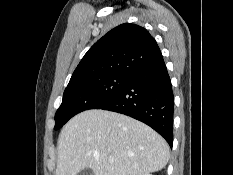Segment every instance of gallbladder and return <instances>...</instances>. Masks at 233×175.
Here are the masks:
<instances>
[{"instance_id": "gallbladder-1", "label": "gallbladder", "mask_w": 233, "mask_h": 175, "mask_svg": "<svg viewBox=\"0 0 233 175\" xmlns=\"http://www.w3.org/2000/svg\"><path fill=\"white\" fill-rule=\"evenodd\" d=\"M78 175H94V172L92 169L86 168V169L82 170L81 172H79Z\"/></svg>"}]
</instances>
